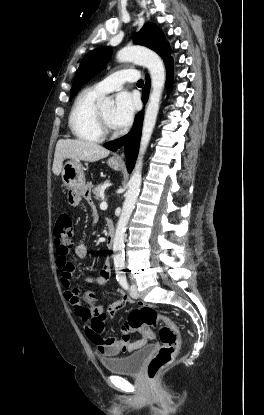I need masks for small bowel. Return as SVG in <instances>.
Masks as SVG:
<instances>
[{
	"mask_svg": "<svg viewBox=\"0 0 264 415\" xmlns=\"http://www.w3.org/2000/svg\"><path fill=\"white\" fill-rule=\"evenodd\" d=\"M92 220H98V212L96 209L92 210ZM89 248L85 243H80L75 247V254L78 258H85L88 254ZM68 250L59 249L57 251V265L61 270V281L64 288V298L71 306L73 312L78 318L83 321V328L87 337L95 344L100 355L103 358H109L117 355L119 352H133L136 349L142 347L147 343L145 338H142L133 343H124L120 340L119 336L110 340L100 339L99 341L92 340V336L95 334L89 323L90 309L86 308L81 300L82 289L74 287L72 284L71 274L75 270L76 266L68 259ZM111 277V266L108 260H106L99 269L98 276L86 277L85 282L93 283L97 286H106ZM134 300L126 295L124 292L119 293V298L113 302L106 304L103 307L104 312L108 316L116 314L120 309L132 304ZM126 327V323L122 329ZM129 330V328H128ZM136 330V329H134Z\"/></svg>",
	"mask_w": 264,
	"mask_h": 415,
	"instance_id": "c3829d8e",
	"label": "small bowel"
}]
</instances>
